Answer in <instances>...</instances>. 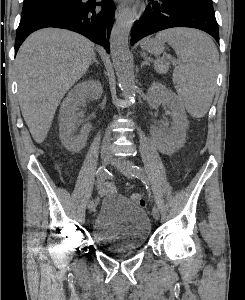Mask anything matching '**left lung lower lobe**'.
<instances>
[{
    "label": "left lung lower lobe",
    "instance_id": "0a47b994",
    "mask_svg": "<svg viewBox=\"0 0 245 300\" xmlns=\"http://www.w3.org/2000/svg\"><path fill=\"white\" fill-rule=\"evenodd\" d=\"M173 27H191L209 33L219 43V30L212 3L205 0H148L131 31L133 45L143 37Z\"/></svg>",
    "mask_w": 245,
    "mask_h": 300
}]
</instances>
